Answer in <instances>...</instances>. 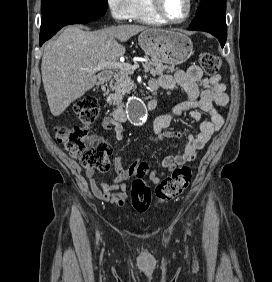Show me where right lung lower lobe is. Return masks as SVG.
I'll use <instances>...</instances> for the list:
<instances>
[{
    "label": "right lung lower lobe",
    "instance_id": "obj_1",
    "mask_svg": "<svg viewBox=\"0 0 272 282\" xmlns=\"http://www.w3.org/2000/svg\"><path fill=\"white\" fill-rule=\"evenodd\" d=\"M106 13V9L95 6H74L52 10L42 16L40 45L50 39L63 26L88 23Z\"/></svg>",
    "mask_w": 272,
    "mask_h": 282
}]
</instances>
